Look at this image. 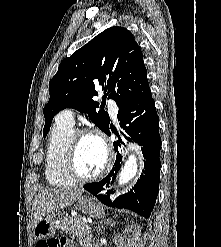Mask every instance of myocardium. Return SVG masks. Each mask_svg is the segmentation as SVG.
Here are the masks:
<instances>
[{
	"instance_id": "myocardium-1",
	"label": "myocardium",
	"mask_w": 221,
	"mask_h": 247,
	"mask_svg": "<svg viewBox=\"0 0 221 247\" xmlns=\"http://www.w3.org/2000/svg\"><path fill=\"white\" fill-rule=\"evenodd\" d=\"M90 135L94 136L100 140L102 143L105 154H106V161L103 168L95 175L92 176H85L80 173L77 167V150L79 146V142L83 136ZM114 161V152L113 148L106 138V136L97 129L91 128H81L74 130L72 135L67 155H66V168L69 175L78 182H93L103 178L111 169Z\"/></svg>"
}]
</instances>
